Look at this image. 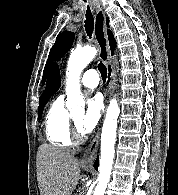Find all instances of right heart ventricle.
Here are the masks:
<instances>
[{
	"label": "right heart ventricle",
	"mask_w": 178,
	"mask_h": 195,
	"mask_svg": "<svg viewBox=\"0 0 178 195\" xmlns=\"http://www.w3.org/2000/svg\"><path fill=\"white\" fill-rule=\"evenodd\" d=\"M45 135L48 141L60 148L72 146L70 115L64 106L63 96L55 98L45 117Z\"/></svg>",
	"instance_id": "obj_1"
}]
</instances>
